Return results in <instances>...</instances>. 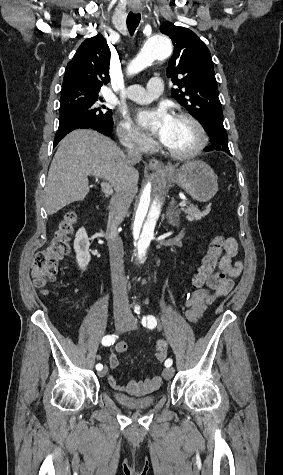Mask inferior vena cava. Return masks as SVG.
<instances>
[{
    "label": "inferior vena cava",
    "instance_id": "1",
    "mask_svg": "<svg viewBox=\"0 0 283 475\" xmlns=\"http://www.w3.org/2000/svg\"><path fill=\"white\" fill-rule=\"evenodd\" d=\"M127 158L129 162H139L142 154L137 144H132L127 148ZM127 172L132 174L133 168H128ZM116 194L111 198L109 220L107 224V239L110 255L111 265V279L113 291V307L114 311H123L129 313V299L126 289L127 281L124 271L123 261V243L119 238L117 228L120 226L126 212L134 198L132 192H128L127 186L125 188H118L115 190Z\"/></svg>",
    "mask_w": 283,
    "mask_h": 475
}]
</instances>
